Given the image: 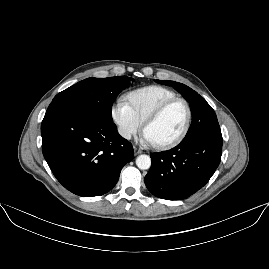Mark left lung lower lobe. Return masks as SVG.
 Instances as JSON below:
<instances>
[{
    "label": "left lung lower lobe",
    "instance_id": "obj_1",
    "mask_svg": "<svg viewBox=\"0 0 269 269\" xmlns=\"http://www.w3.org/2000/svg\"><path fill=\"white\" fill-rule=\"evenodd\" d=\"M221 154L222 136L206 135L182 141L171 150L150 154L152 164L145 184L159 198L186 199L209 181Z\"/></svg>",
    "mask_w": 269,
    "mask_h": 269
}]
</instances>
